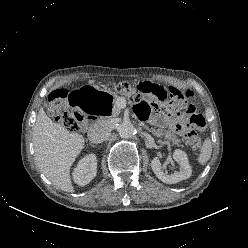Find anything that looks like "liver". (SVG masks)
Segmentation results:
<instances>
[{
    "label": "liver",
    "mask_w": 248,
    "mask_h": 248,
    "mask_svg": "<svg viewBox=\"0 0 248 248\" xmlns=\"http://www.w3.org/2000/svg\"><path fill=\"white\" fill-rule=\"evenodd\" d=\"M84 137L53 122L40 108L33 127L38 168L57 188L73 192L70 168L84 147Z\"/></svg>",
    "instance_id": "1"
}]
</instances>
